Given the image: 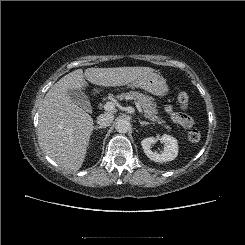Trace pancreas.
I'll use <instances>...</instances> for the list:
<instances>
[{
  "instance_id": "pancreas-1",
  "label": "pancreas",
  "mask_w": 245,
  "mask_h": 245,
  "mask_svg": "<svg viewBox=\"0 0 245 245\" xmlns=\"http://www.w3.org/2000/svg\"><path fill=\"white\" fill-rule=\"evenodd\" d=\"M118 100L123 99H133L135 100L142 108V111L144 112V117L150 119L153 124L154 122H157L158 124L164 125L166 129H170L168 125L165 124V121L162 120L158 116V109L155 102H153V98L146 96L142 93H139L137 91H130L128 93H122L117 96Z\"/></svg>"
}]
</instances>
